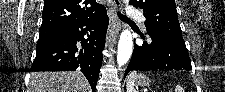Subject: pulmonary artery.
Masks as SVG:
<instances>
[{
	"label": "pulmonary artery",
	"mask_w": 225,
	"mask_h": 92,
	"mask_svg": "<svg viewBox=\"0 0 225 92\" xmlns=\"http://www.w3.org/2000/svg\"><path fill=\"white\" fill-rule=\"evenodd\" d=\"M128 15L132 18H136L141 24H144V22H145V16L138 11L132 10L129 12Z\"/></svg>",
	"instance_id": "pulmonary-artery-1"
}]
</instances>
